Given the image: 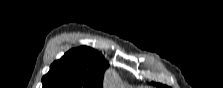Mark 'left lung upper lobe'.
<instances>
[{
    "label": "left lung upper lobe",
    "instance_id": "obj_1",
    "mask_svg": "<svg viewBox=\"0 0 223 88\" xmlns=\"http://www.w3.org/2000/svg\"><path fill=\"white\" fill-rule=\"evenodd\" d=\"M152 84L156 85V86H160V87H164V88H168V86L162 85V84H156L154 82H152Z\"/></svg>",
    "mask_w": 223,
    "mask_h": 88
}]
</instances>
